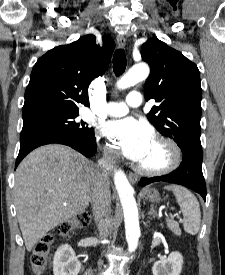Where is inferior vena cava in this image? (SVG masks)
I'll return each instance as SVG.
<instances>
[{"instance_id":"1","label":"inferior vena cava","mask_w":225,"mask_h":275,"mask_svg":"<svg viewBox=\"0 0 225 275\" xmlns=\"http://www.w3.org/2000/svg\"><path fill=\"white\" fill-rule=\"evenodd\" d=\"M115 152L106 150L103 158L98 162L91 192V206L94 220L100 235L107 237L111 226L110 205L111 194L109 188V174L114 167Z\"/></svg>"}]
</instances>
